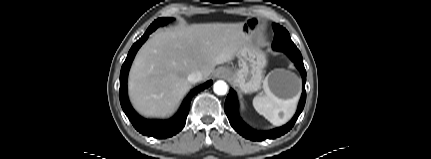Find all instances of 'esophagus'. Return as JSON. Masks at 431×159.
I'll list each match as a JSON object with an SVG mask.
<instances>
[{
  "label": "esophagus",
  "instance_id": "34e87169",
  "mask_svg": "<svg viewBox=\"0 0 431 159\" xmlns=\"http://www.w3.org/2000/svg\"><path fill=\"white\" fill-rule=\"evenodd\" d=\"M229 75V70L225 67H220L215 72V77L225 78Z\"/></svg>",
  "mask_w": 431,
  "mask_h": 159
}]
</instances>
